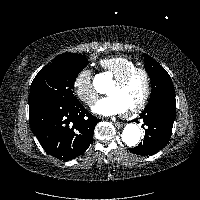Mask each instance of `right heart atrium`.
Here are the masks:
<instances>
[{
    "label": "right heart atrium",
    "mask_w": 200,
    "mask_h": 200,
    "mask_svg": "<svg viewBox=\"0 0 200 200\" xmlns=\"http://www.w3.org/2000/svg\"><path fill=\"white\" fill-rule=\"evenodd\" d=\"M73 89L77 97L88 106H91L98 98V92L93 84L92 71L80 70L74 77Z\"/></svg>",
    "instance_id": "d8ad5b80"
}]
</instances>
